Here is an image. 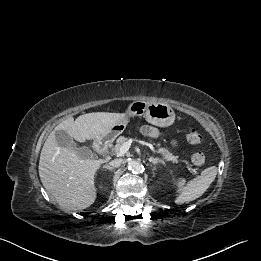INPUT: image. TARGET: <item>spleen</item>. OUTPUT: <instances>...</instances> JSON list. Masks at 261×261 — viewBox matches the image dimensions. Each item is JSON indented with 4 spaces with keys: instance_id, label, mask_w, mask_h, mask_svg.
<instances>
[{
    "instance_id": "3e777b00",
    "label": "spleen",
    "mask_w": 261,
    "mask_h": 261,
    "mask_svg": "<svg viewBox=\"0 0 261 261\" xmlns=\"http://www.w3.org/2000/svg\"><path fill=\"white\" fill-rule=\"evenodd\" d=\"M216 175L217 167L211 166L204 169L201 175L189 181L187 184L184 178H178L176 186L179 194L175 199V203L181 205L199 198L209 188Z\"/></svg>"
}]
</instances>
